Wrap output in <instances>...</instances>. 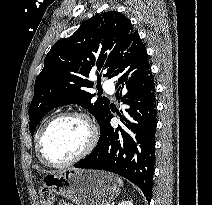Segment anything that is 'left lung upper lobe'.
Listing matches in <instances>:
<instances>
[{"label":"left lung upper lobe","instance_id":"5c2ea615","mask_svg":"<svg viewBox=\"0 0 212 205\" xmlns=\"http://www.w3.org/2000/svg\"><path fill=\"white\" fill-rule=\"evenodd\" d=\"M130 20L119 12L99 14L82 25L72 36L54 44L35 81L34 97L29 107V129L34 133L41 118L55 107L78 104L100 124L109 109L105 97L91 102L95 94L87 92L93 82L87 77L97 72L111 75L133 40L138 36Z\"/></svg>","mask_w":212,"mask_h":205}]
</instances>
